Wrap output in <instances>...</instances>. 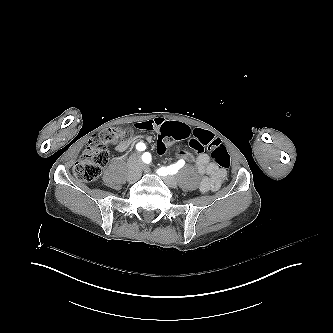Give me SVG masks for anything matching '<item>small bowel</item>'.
<instances>
[{
  "mask_svg": "<svg viewBox=\"0 0 333 333\" xmlns=\"http://www.w3.org/2000/svg\"><path fill=\"white\" fill-rule=\"evenodd\" d=\"M167 121L163 118H154L149 120L139 121L135 124V127L139 130L143 131H155L159 130L161 125L166 123ZM204 134L211 135L210 133L203 130H195V136H201ZM145 139L146 141H151V137H143L141 135H135L130 137L129 139H125L121 141L117 146L116 150L120 153L127 151L134 144ZM177 157L185 160H189L190 157L187 152L179 151L177 153ZM195 165L197 172L204 177L201 179L199 188L203 193L214 192L220 188L222 183L226 178V172L219 168L215 163L210 161V157L207 154H199L195 159Z\"/></svg>",
  "mask_w": 333,
  "mask_h": 333,
  "instance_id": "1",
  "label": "small bowel"
}]
</instances>
